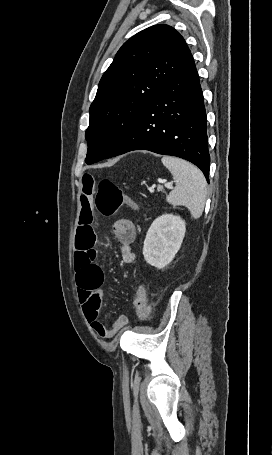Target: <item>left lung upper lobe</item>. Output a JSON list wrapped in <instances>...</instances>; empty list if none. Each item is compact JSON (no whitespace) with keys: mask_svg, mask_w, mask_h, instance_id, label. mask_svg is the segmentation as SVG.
I'll return each mask as SVG.
<instances>
[{"mask_svg":"<svg viewBox=\"0 0 272 455\" xmlns=\"http://www.w3.org/2000/svg\"><path fill=\"white\" fill-rule=\"evenodd\" d=\"M193 61L183 37L168 25L151 26L127 40L90 106L86 163L108 158L145 107Z\"/></svg>","mask_w":272,"mask_h":455,"instance_id":"5c2ea615","label":"left lung upper lobe"}]
</instances>
